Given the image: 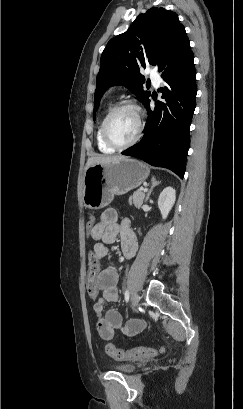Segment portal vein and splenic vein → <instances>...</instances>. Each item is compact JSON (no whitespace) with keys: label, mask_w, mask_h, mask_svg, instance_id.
<instances>
[{"label":"portal vein and splenic vein","mask_w":243,"mask_h":409,"mask_svg":"<svg viewBox=\"0 0 243 409\" xmlns=\"http://www.w3.org/2000/svg\"><path fill=\"white\" fill-rule=\"evenodd\" d=\"M140 190L143 191V192H147L146 188H140Z\"/></svg>","instance_id":"portal-vein-and-splenic-vein-1"}]
</instances>
